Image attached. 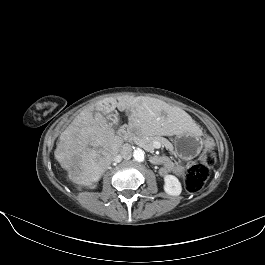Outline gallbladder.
I'll return each instance as SVG.
<instances>
[{
	"mask_svg": "<svg viewBox=\"0 0 265 265\" xmlns=\"http://www.w3.org/2000/svg\"><path fill=\"white\" fill-rule=\"evenodd\" d=\"M108 119L111 121L114 128H117V126H118V115L117 114H111L108 116Z\"/></svg>",
	"mask_w": 265,
	"mask_h": 265,
	"instance_id": "bac80fb5",
	"label": "gallbladder"
}]
</instances>
